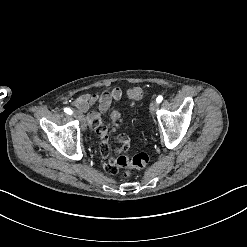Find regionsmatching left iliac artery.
<instances>
[{"label": "left iliac artery", "mask_w": 247, "mask_h": 247, "mask_svg": "<svg viewBox=\"0 0 247 247\" xmlns=\"http://www.w3.org/2000/svg\"><path fill=\"white\" fill-rule=\"evenodd\" d=\"M162 100H163V96H162V95H159V96L157 97V99H156V102H157V103H160V102H162Z\"/></svg>", "instance_id": "44dca946"}]
</instances>
